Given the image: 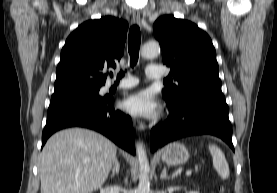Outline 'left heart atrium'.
Returning <instances> with one entry per match:
<instances>
[{
	"instance_id": "obj_1",
	"label": "left heart atrium",
	"mask_w": 277,
	"mask_h": 193,
	"mask_svg": "<svg viewBox=\"0 0 277 193\" xmlns=\"http://www.w3.org/2000/svg\"><path fill=\"white\" fill-rule=\"evenodd\" d=\"M123 105L128 113L140 117H152L156 114L157 109L152 95L146 90L130 95Z\"/></svg>"
}]
</instances>
